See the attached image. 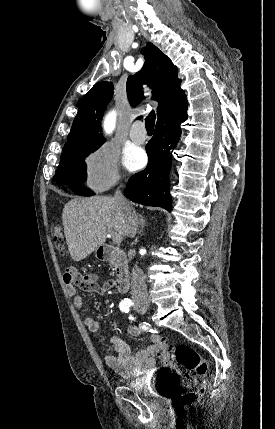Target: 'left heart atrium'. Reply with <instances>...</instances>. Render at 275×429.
Wrapping results in <instances>:
<instances>
[{
    "mask_svg": "<svg viewBox=\"0 0 275 429\" xmlns=\"http://www.w3.org/2000/svg\"><path fill=\"white\" fill-rule=\"evenodd\" d=\"M146 162L145 153L138 148L130 149L125 154V165L130 170L141 168Z\"/></svg>",
    "mask_w": 275,
    "mask_h": 429,
    "instance_id": "1",
    "label": "left heart atrium"
}]
</instances>
